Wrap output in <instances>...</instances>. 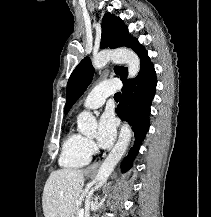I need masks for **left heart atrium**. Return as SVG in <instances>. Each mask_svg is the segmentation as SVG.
Returning a JSON list of instances; mask_svg holds the SVG:
<instances>
[{"instance_id": "obj_1", "label": "left heart atrium", "mask_w": 211, "mask_h": 217, "mask_svg": "<svg viewBox=\"0 0 211 217\" xmlns=\"http://www.w3.org/2000/svg\"><path fill=\"white\" fill-rule=\"evenodd\" d=\"M116 136V124L111 113L103 114L99 120L97 142L100 147H110Z\"/></svg>"}]
</instances>
